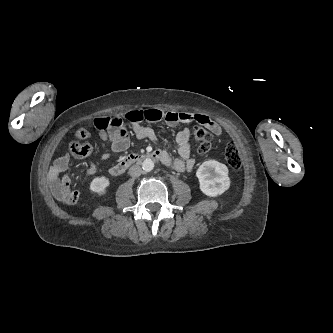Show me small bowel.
Here are the masks:
<instances>
[{"instance_id": "1", "label": "small bowel", "mask_w": 333, "mask_h": 333, "mask_svg": "<svg viewBox=\"0 0 333 333\" xmlns=\"http://www.w3.org/2000/svg\"><path fill=\"white\" fill-rule=\"evenodd\" d=\"M164 120L170 126L179 124L198 123L204 125L212 134L220 136L222 134L221 126L209 116L202 113H192L185 111H162L160 109L147 110H132L126 113L125 117L130 125L132 133L137 139H148L153 142H158V138L150 127L142 125L143 121H158ZM78 130L76 135L80 139H87L89 132L83 129V134ZM191 130L187 127L183 128L176 135L175 141L179 158L172 160L165 150L159 151L163 157L165 165L172 166L176 171H192L195 167V160L191 157L190 148ZM99 137L102 140H108L111 144L112 151L121 152L128 148L130 144L129 136L125 131L119 130H100ZM110 153L103 154L104 160L110 159ZM70 165L68 154L59 156L48 172V182L55 198L65 204H74L79 200L80 193L77 190H70V178L66 171ZM86 171L89 175L96 173V166L93 163H88Z\"/></svg>"}]
</instances>
